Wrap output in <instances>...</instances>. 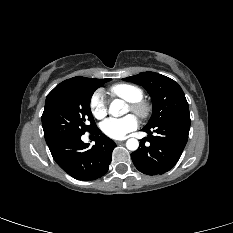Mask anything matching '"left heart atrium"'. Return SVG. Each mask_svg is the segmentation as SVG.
<instances>
[{"label": "left heart atrium", "instance_id": "obj_1", "mask_svg": "<svg viewBox=\"0 0 233 233\" xmlns=\"http://www.w3.org/2000/svg\"><path fill=\"white\" fill-rule=\"evenodd\" d=\"M138 126V120L133 115H127L123 118H109L101 124L102 132L112 139H122L129 132L135 130Z\"/></svg>", "mask_w": 233, "mask_h": 233}]
</instances>
